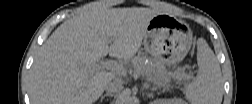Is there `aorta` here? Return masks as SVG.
I'll use <instances>...</instances> for the list:
<instances>
[{
	"label": "aorta",
	"mask_w": 252,
	"mask_h": 104,
	"mask_svg": "<svg viewBox=\"0 0 252 104\" xmlns=\"http://www.w3.org/2000/svg\"><path fill=\"white\" fill-rule=\"evenodd\" d=\"M124 101L126 102V103H133L134 102V98H132L130 95H125V97H124Z\"/></svg>",
	"instance_id": "aorta-1"
}]
</instances>
